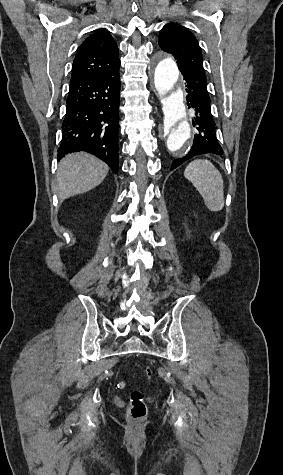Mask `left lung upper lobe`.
<instances>
[{"instance_id":"1","label":"left lung upper lobe","mask_w":283,"mask_h":475,"mask_svg":"<svg viewBox=\"0 0 283 475\" xmlns=\"http://www.w3.org/2000/svg\"><path fill=\"white\" fill-rule=\"evenodd\" d=\"M159 45L177 60L178 68L204 71L201 48L194 35L185 27L169 23L161 29Z\"/></svg>"}]
</instances>
